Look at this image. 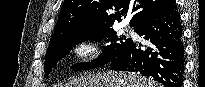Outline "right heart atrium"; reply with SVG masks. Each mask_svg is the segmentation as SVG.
<instances>
[{
  "instance_id": "d8ad5b80",
  "label": "right heart atrium",
  "mask_w": 205,
  "mask_h": 87,
  "mask_svg": "<svg viewBox=\"0 0 205 87\" xmlns=\"http://www.w3.org/2000/svg\"><path fill=\"white\" fill-rule=\"evenodd\" d=\"M74 55L81 63L94 61L99 54V45L94 39H84L73 48Z\"/></svg>"
}]
</instances>
